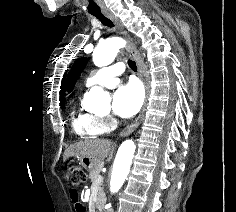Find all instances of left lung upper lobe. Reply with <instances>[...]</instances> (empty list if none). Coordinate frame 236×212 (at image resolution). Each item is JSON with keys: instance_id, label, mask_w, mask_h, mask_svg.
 <instances>
[{"instance_id": "1", "label": "left lung upper lobe", "mask_w": 236, "mask_h": 212, "mask_svg": "<svg viewBox=\"0 0 236 212\" xmlns=\"http://www.w3.org/2000/svg\"><path fill=\"white\" fill-rule=\"evenodd\" d=\"M86 64H87V59L80 58L72 66L71 71L69 73V78L67 80V86H68L69 92L72 91V89L74 88L75 83H76L79 75L81 74V72L85 68Z\"/></svg>"}]
</instances>
